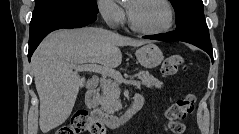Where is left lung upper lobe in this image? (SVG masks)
<instances>
[{
	"label": "left lung upper lobe",
	"mask_w": 239,
	"mask_h": 134,
	"mask_svg": "<svg viewBox=\"0 0 239 134\" xmlns=\"http://www.w3.org/2000/svg\"><path fill=\"white\" fill-rule=\"evenodd\" d=\"M176 13V30L189 26L206 27L202 0H170Z\"/></svg>",
	"instance_id": "left-lung-upper-lobe-1"
}]
</instances>
